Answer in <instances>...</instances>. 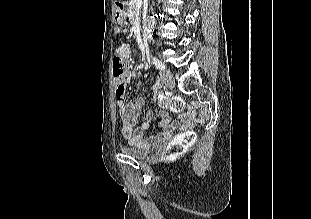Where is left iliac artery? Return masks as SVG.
<instances>
[{"label": "left iliac artery", "mask_w": 311, "mask_h": 219, "mask_svg": "<svg viewBox=\"0 0 311 219\" xmlns=\"http://www.w3.org/2000/svg\"><path fill=\"white\" fill-rule=\"evenodd\" d=\"M153 64L155 65L156 68L158 69H161V70H164L165 69V66L164 64L158 60L156 57H153Z\"/></svg>", "instance_id": "left-iliac-artery-1"}]
</instances>
